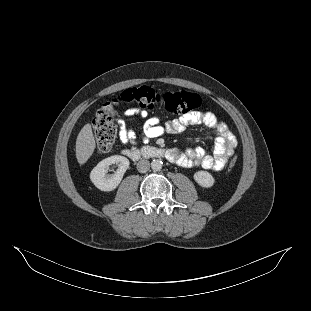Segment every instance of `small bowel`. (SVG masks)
Wrapping results in <instances>:
<instances>
[{"mask_svg": "<svg viewBox=\"0 0 311 311\" xmlns=\"http://www.w3.org/2000/svg\"><path fill=\"white\" fill-rule=\"evenodd\" d=\"M136 114L144 119L141 131L144 142L167 133H180L192 125H204L217 134L212 154H208L202 147H193L186 151L171 149L173 155L171 161L183 168L202 167L220 171L233 155L237 145V139L228 125L220 121L212 112H190L177 119L161 123L158 117H150L147 111L139 109H128L124 112V116L117 120L120 129L119 138L123 144L133 143L137 137L136 132L127 125L128 121Z\"/></svg>", "mask_w": 311, "mask_h": 311, "instance_id": "small-bowel-1", "label": "small bowel"}]
</instances>
